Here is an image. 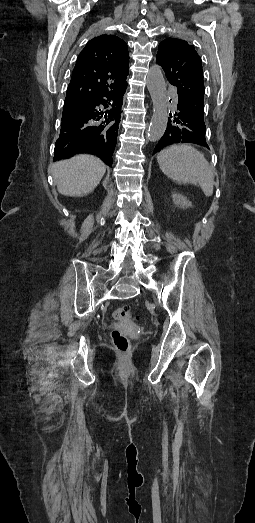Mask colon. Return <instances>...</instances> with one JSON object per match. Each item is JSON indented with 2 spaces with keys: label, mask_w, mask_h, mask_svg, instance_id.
I'll use <instances>...</instances> for the list:
<instances>
[{
  "label": "colon",
  "mask_w": 255,
  "mask_h": 523,
  "mask_svg": "<svg viewBox=\"0 0 255 523\" xmlns=\"http://www.w3.org/2000/svg\"><path fill=\"white\" fill-rule=\"evenodd\" d=\"M113 315L117 320H121V321H129V320L134 321L135 320L133 317L132 311L130 310L129 307L117 308L114 311ZM111 338H112V342H113L115 349L119 353H121L123 355L128 353V351L130 350V342L123 331H121L119 329H114L111 333Z\"/></svg>",
  "instance_id": "1"
}]
</instances>
